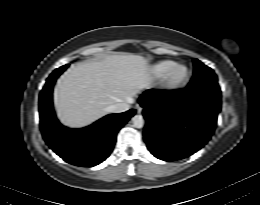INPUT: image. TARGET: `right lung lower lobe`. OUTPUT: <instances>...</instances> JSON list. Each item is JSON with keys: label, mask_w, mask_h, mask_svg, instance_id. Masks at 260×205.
Segmentation results:
<instances>
[{"label": "right lung lower lobe", "mask_w": 260, "mask_h": 205, "mask_svg": "<svg viewBox=\"0 0 260 205\" xmlns=\"http://www.w3.org/2000/svg\"><path fill=\"white\" fill-rule=\"evenodd\" d=\"M67 67L56 69L40 93V127L47 145L63 160L80 167H92L110 155L118 131L134 115L135 110L107 115L82 129L62 126L54 114L52 91L56 79Z\"/></svg>", "instance_id": "98d812e1"}]
</instances>
